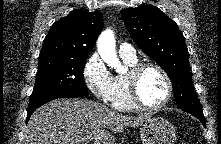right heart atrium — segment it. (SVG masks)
<instances>
[{
	"label": "right heart atrium",
	"mask_w": 221,
	"mask_h": 144,
	"mask_svg": "<svg viewBox=\"0 0 221 144\" xmlns=\"http://www.w3.org/2000/svg\"><path fill=\"white\" fill-rule=\"evenodd\" d=\"M83 78L87 88L99 100L109 102L115 93L114 76L98 54H93L83 68Z\"/></svg>",
	"instance_id": "right-heart-atrium-1"
}]
</instances>
